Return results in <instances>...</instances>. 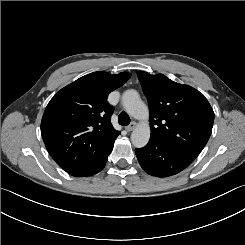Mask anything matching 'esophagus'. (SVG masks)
I'll list each match as a JSON object with an SVG mask.
<instances>
[{
  "label": "esophagus",
  "instance_id": "obj_1",
  "mask_svg": "<svg viewBox=\"0 0 245 245\" xmlns=\"http://www.w3.org/2000/svg\"><path fill=\"white\" fill-rule=\"evenodd\" d=\"M136 127V122H132L129 126L125 127V130H127L128 132L134 130Z\"/></svg>",
  "mask_w": 245,
  "mask_h": 245
}]
</instances>
